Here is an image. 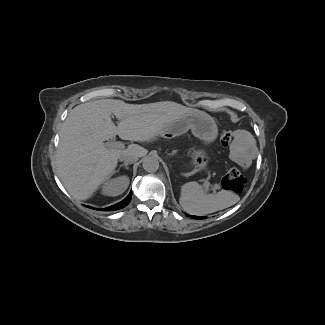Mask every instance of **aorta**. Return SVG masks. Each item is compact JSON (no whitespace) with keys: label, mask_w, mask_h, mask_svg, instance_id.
I'll return each mask as SVG.
<instances>
[{"label":"aorta","mask_w":325,"mask_h":325,"mask_svg":"<svg viewBox=\"0 0 325 325\" xmlns=\"http://www.w3.org/2000/svg\"><path fill=\"white\" fill-rule=\"evenodd\" d=\"M143 168L149 173L156 172L159 168V161L156 156L148 155L143 158Z\"/></svg>","instance_id":"obj_1"}]
</instances>
